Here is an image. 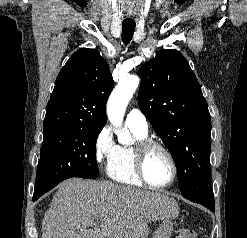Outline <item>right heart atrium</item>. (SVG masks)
Returning <instances> with one entry per match:
<instances>
[{
	"label": "right heart atrium",
	"mask_w": 247,
	"mask_h": 238,
	"mask_svg": "<svg viewBox=\"0 0 247 238\" xmlns=\"http://www.w3.org/2000/svg\"><path fill=\"white\" fill-rule=\"evenodd\" d=\"M116 144L109 126H104L96 135L94 141V156L98 165L108 163Z\"/></svg>",
	"instance_id": "d8ad5b80"
}]
</instances>
